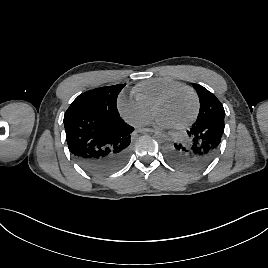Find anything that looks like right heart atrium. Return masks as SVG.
Returning <instances> with one entry per match:
<instances>
[{
    "label": "right heart atrium",
    "mask_w": 268,
    "mask_h": 268,
    "mask_svg": "<svg viewBox=\"0 0 268 268\" xmlns=\"http://www.w3.org/2000/svg\"><path fill=\"white\" fill-rule=\"evenodd\" d=\"M117 109L125 120L135 125L145 124L152 116L150 107L125 94L118 97Z\"/></svg>",
    "instance_id": "d8ad5b80"
}]
</instances>
